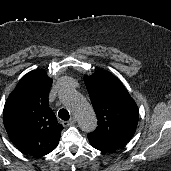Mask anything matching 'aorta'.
<instances>
[{
  "label": "aorta",
  "mask_w": 171,
  "mask_h": 171,
  "mask_svg": "<svg viewBox=\"0 0 171 171\" xmlns=\"http://www.w3.org/2000/svg\"><path fill=\"white\" fill-rule=\"evenodd\" d=\"M59 97L73 112L82 131L89 133L95 130L97 119L92 106L74 88L63 87Z\"/></svg>",
  "instance_id": "1"
}]
</instances>
